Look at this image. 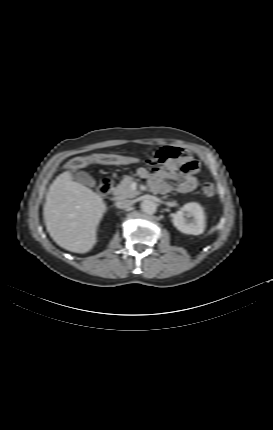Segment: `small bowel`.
I'll return each instance as SVG.
<instances>
[{
	"mask_svg": "<svg viewBox=\"0 0 273 430\" xmlns=\"http://www.w3.org/2000/svg\"><path fill=\"white\" fill-rule=\"evenodd\" d=\"M151 164L150 170L140 167L137 174L147 178L154 191L167 193L175 189L187 193L196 188L200 165L190 152L172 146L158 148L152 151ZM169 180L175 181L176 186L169 184Z\"/></svg>",
	"mask_w": 273,
	"mask_h": 430,
	"instance_id": "obj_1",
	"label": "small bowel"
}]
</instances>
